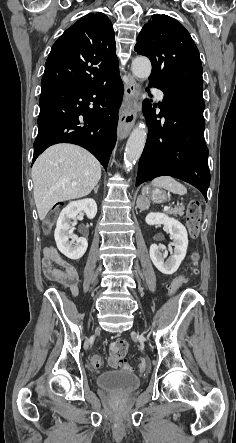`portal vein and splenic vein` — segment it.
Segmentation results:
<instances>
[{"mask_svg":"<svg viewBox=\"0 0 236 443\" xmlns=\"http://www.w3.org/2000/svg\"><path fill=\"white\" fill-rule=\"evenodd\" d=\"M168 209H169V208L166 206V207L164 208V211L166 212V211H168Z\"/></svg>","mask_w":236,"mask_h":443,"instance_id":"18ae733b","label":"portal vein and splenic vein"}]
</instances>
